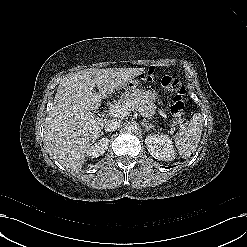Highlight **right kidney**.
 <instances>
[{
  "label": "right kidney",
  "mask_w": 247,
  "mask_h": 247,
  "mask_svg": "<svg viewBox=\"0 0 247 247\" xmlns=\"http://www.w3.org/2000/svg\"><path fill=\"white\" fill-rule=\"evenodd\" d=\"M109 140L107 138H102L101 140L95 142L91 145L87 151V156L90 158H97L105 153L108 149Z\"/></svg>",
  "instance_id": "ca27d5eb"
}]
</instances>
